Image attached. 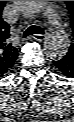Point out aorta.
Returning a JSON list of instances; mask_svg holds the SVG:
<instances>
[{
	"label": "aorta",
	"mask_w": 74,
	"mask_h": 122,
	"mask_svg": "<svg viewBox=\"0 0 74 122\" xmlns=\"http://www.w3.org/2000/svg\"><path fill=\"white\" fill-rule=\"evenodd\" d=\"M18 10L25 15L40 13L46 5L45 1H14ZM68 35L64 30L49 35L45 41L44 50L52 60H59L66 55L69 49Z\"/></svg>",
	"instance_id": "obj_1"
}]
</instances>
